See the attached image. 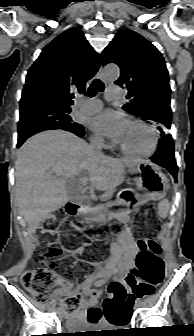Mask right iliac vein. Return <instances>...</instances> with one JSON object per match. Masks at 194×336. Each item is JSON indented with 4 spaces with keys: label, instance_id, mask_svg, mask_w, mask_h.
Segmentation results:
<instances>
[{
    "label": "right iliac vein",
    "instance_id": "63e3f726",
    "mask_svg": "<svg viewBox=\"0 0 194 336\" xmlns=\"http://www.w3.org/2000/svg\"><path fill=\"white\" fill-rule=\"evenodd\" d=\"M57 313L61 316L63 314V308L59 307Z\"/></svg>",
    "mask_w": 194,
    "mask_h": 336
}]
</instances>
